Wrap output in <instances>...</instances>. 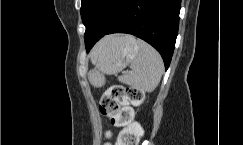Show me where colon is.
I'll use <instances>...</instances> for the list:
<instances>
[{"label":"colon","instance_id":"1","mask_svg":"<svg viewBox=\"0 0 243 145\" xmlns=\"http://www.w3.org/2000/svg\"><path fill=\"white\" fill-rule=\"evenodd\" d=\"M145 94L138 87L114 85L106 90L100 102V111L111 123L122 127L115 145H138L142 136L141 126L133 121L130 107L143 103Z\"/></svg>","mask_w":243,"mask_h":145}]
</instances>
